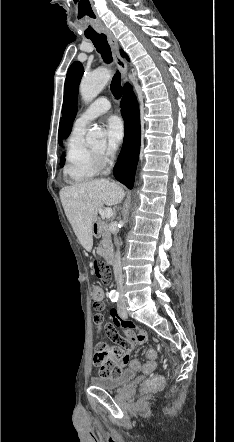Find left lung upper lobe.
<instances>
[{
    "instance_id": "5c2ea615",
    "label": "left lung upper lobe",
    "mask_w": 234,
    "mask_h": 442,
    "mask_svg": "<svg viewBox=\"0 0 234 442\" xmlns=\"http://www.w3.org/2000/svg\"><path fill=\"white\" fill-rule=\"evenodd\" d=\"M82 75V64L78 61L73 62L68 69L64 86V99L62 108L64 138H66L70 134L71 127L76 116L78 87Z\"/></svg>"
}]
</instances>
